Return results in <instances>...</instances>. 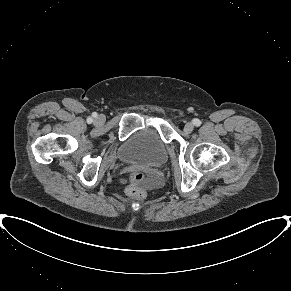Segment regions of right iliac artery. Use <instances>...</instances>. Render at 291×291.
I'll list each match as a JSON object with an SVG mask.
<instances>
[{"instance_id":"obj_1","label":"right iliac artery","mask_w":291,"mask_h":291,"mask_svg":"<svg viewBox=\"0 0 291 291\" xmlns=\"http://www.w3.org/2000/svg\"><path fill=\"white\" fill-rule=\"evenodd\" d=\"M89 123H91L92 121H93V119L90 117V118H88V120H87Z\"/></svg>"}]
</instances>
